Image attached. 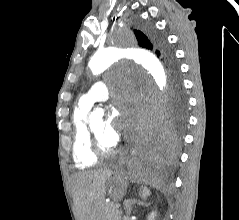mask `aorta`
I'll return each instance as SVG.
<instances>
[{
  "mask_svg": "<svg viewBox=\"0 0 239 220\" xmlns=\"http://www.w3.org/2000/svg\"><path fill=\"white\" fill-rule=\"evenodd\" d=\"M121 40V39H120ZM122 52H131V57H124V61H134V65H142L147 74L154 81L160 91L167 87V76L161 62L153 55L149 48H127V45H111L96 52L89 61V67L94 75H98L120 60ZM103 109L96 108L91 117L100 118Z\"/></svg>",
  "mask_w": 239,
  "mask_h": 220,
  "instance_id": "aorta-1",
  "label": "aorta"
}]
</instances>
